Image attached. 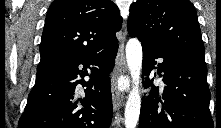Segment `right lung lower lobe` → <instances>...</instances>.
<instances>
[{
  "label": "right lung lower lobe",
  "mask_w": 221,
  "mask_h": 128,
  "mask_svg": "<svg viewBox=\"0 0 221 128\" xmlns=\"http://www.w3.org/2000/svg\"><path fill=\"white\" fill-rule=\"evenodd\" d=\"M118 41L95 53L72 56L37 70L19 128H109L112 96L108 75ZM89 76V81L84 77ZM81 78V79H80ZM86 87L78 98L76 86Z\"/></svg>",
  "instance_id": "obj_1"
}]
</instances>
